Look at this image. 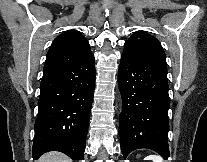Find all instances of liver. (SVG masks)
Returning a JSON list of instances; mask_svg holds the SVG:
<instances>
[{"mask_svg": "<svg viewBox=\"0 0 207 162\" xmlns=\"http://www.w3.org/2000/svg\"><path fill=\"white\" fill-rule=\"evenodd\" d=\"M37 162H72V160L63 153L51 151L42 155Z\"/></svg>", "mask_w": 207, "mask_h": 162, "instance_id": "liver-1", "label": "liver"}]
</instances>
